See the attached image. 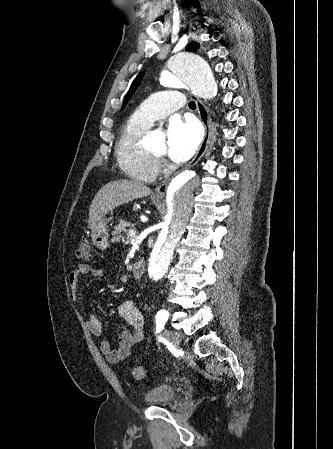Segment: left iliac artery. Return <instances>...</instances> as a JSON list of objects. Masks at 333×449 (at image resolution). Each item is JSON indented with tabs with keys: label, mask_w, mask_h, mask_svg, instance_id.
<instances>
[{
	"label": "left iliac artery",
	"mask_w": 333,
	"mask_h": 449,
	"mask_svg": "<svg viewBox=\"0 0 333 449\" xmlns=\"http://www.w3.org/2000/svg\"><path fill=\"white\" fill-rule=\"evenodd\" d=\"M168 317H169V313H168V311H166L164 309L160 310L157 313V315H156V332L157 333H159L163 329ZM161 339H162V337H159V340H161Z\"/></svg>",
	"instance_id": "44dca946"
}]
</instances>
